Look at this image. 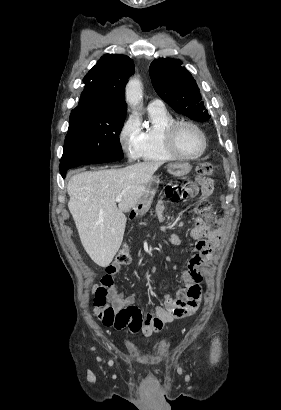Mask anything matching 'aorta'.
I'll return each instance as SVG.
<instances>
[{
  "label": "aorta",
  "instance_id": "762f6f07",
  "mask_svg": "<svg viewBox=\"0 0 281 410\" xmlns=\"http://www.w3.org/2000/svg\"><path fill=\"white\" fill-rule=\"evenodd\" d=\"M143 91L142 83L138 78H132L126 85V101L132 108H138L142 105Z\"/></svg>",
  "mask_w": 281,
  "mask_h": 410
}]
</instances>
